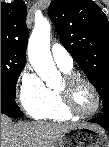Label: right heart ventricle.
<instances>
[{"label": "right heart ventricle", "mask_w": 109, "mask_h": 147, "mask_svg": "<svg viewBox=\"0 0 109 147\" xmlns=\"http://www.w3.org/2000/svg\"><path fill=\"white\" fill-rule=\"evenodd\" d=\"M68 75H71L70 71H65ZM52 103L48 106L36 110L33 117L37 119H50L54 121H66L75 118L74 115L69 113L64 107L61 97L57 91H52Z\"/></svg>", "instance_id": "obj_1"}]
</instances>
